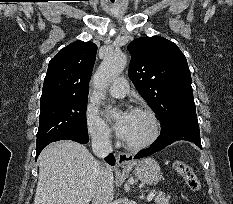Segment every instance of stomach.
Segmentation results:
<instances>
[{
	"label": "stomach",
	"mask_w": 233,
	"mask_h": 204,
	"mask_svg": "<svg viewBox=\"0 0 233 204\" xmlns=\"http://www.w3.org/2000/svg\"><path fill=\"white\" fill-rule=\"evenodd\" d=\"M135 176L147 184H156L162 177L159 164L152 158H146L135 163Z\"/></svg>",
	"instance_id": "1"
}]
</instances>
